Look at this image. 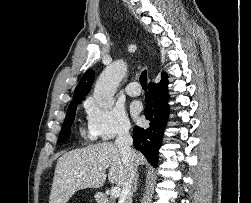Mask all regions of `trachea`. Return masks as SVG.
<instances>
[{
    "label": "trachea",
    "instance_id": "obj_1",
    "mask_svg": "<svg viewBox=\"0 0 251 203\" xmlns=\"http://www.w3.org/2000/svg\"><path fill=\"white\" fill-rule=\"evenodd\" d=\"M140 84L144 90H147V71L144 70L140 75Z\"/></svg>",
    "mask_w": 251,
    "mask_h": 203
}]
</instances>
